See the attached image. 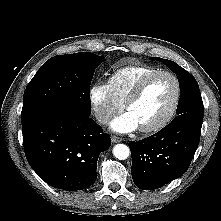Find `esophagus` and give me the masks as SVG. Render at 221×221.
Here are the masks:
<instances>
[{
	"label": "esophagus",
	"instance_id": "1",
	"mask_svg": "<svg viewBox=\"0 0 221 221\" xmlns=\"http://www.w3.org/2000/svg\"><path fill=\"white\" fill-rule=\"evenodd\" d=\"M111 140H112L113 143H119V142L122 141V138L118 137V136H112Z\"/></svg>",
	"mask_w": 221,
	"mask_h": 221
}]
</instances>
